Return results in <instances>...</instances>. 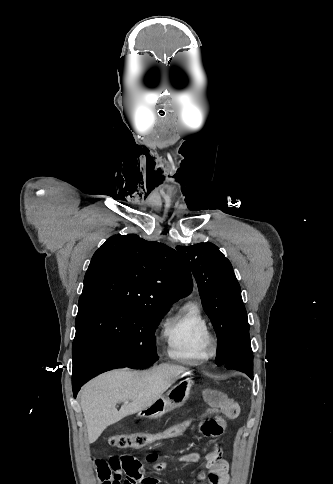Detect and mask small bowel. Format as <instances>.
<instances>
[{"mask_svg":"<svg viewBox=\"0 0 333 484\" xmlns=\"http://www.w3.org/2000/svg\"><path fill=\"white\" fill-rule=\"evenodd\" d=\"M203 397L214 409V418L200 423L197 428L204 436L216 438L227 429V419H234L239 415V405L225 394L214 390H204ZM178 459L197 465L201 463L199 453H188ZM207 460V468L201 484H228V464L222 458L220 451L214 448L207 455ZM98 461L109 470L112 484H157L159 480L155 475L163 468V464H158L151 474H147L141 462L129 454Z\"/></svg>","mask_w":333,"mask_h":484,"instance_id":"small-bowel-1","label":"small bowel"}]
</instances>
